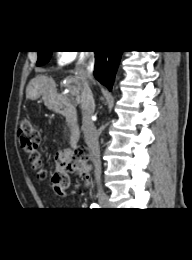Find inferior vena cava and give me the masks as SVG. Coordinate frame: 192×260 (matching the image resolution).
Listing matches in <instances>:
<instances>
[{
	"label": "inferior vena cava",
	"instance_id": "1",
	"mask_svg": "<svg viewBox=\"0 0 192 260\" xmlns=\"http://www.w3.org/2000/svg\"><path fill=\"white\" fill-rule=\"evenodd\" d=\"M75 69L81 85L82 128L84 138L90 150L96 182L100 185L101 161L98 134L91 119L95 109V103L89 86L94 70V53L86 51L78 60Z\"/></svg>",
	"mask_w": 192,
	"mask_h": 260
}]
</instances>
